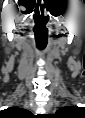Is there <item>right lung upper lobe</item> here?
Segmentation results:
<instances>
[{
	"instance_id": "obj_1",
	"label": "right lung upper lobe",
	"mask_w": 85,
	"mask_h": 118,
	"mask_svg": "<svg viewBox=\"0 0 85 118\" xmlns=\"http://www.w3.org/2000/svg\"><path fill=\"white\" fill-rule=\"evenodd\" d=\"M9 111H15V108H10Z\"/></svg>"
}]
</instances>
